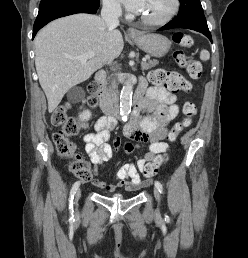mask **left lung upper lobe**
Returning a JSON list of instances; mask_svg holds the SVG:
<instances>
[{
    "label": "left lung upper lobe",
    "instance_id": "5c2ea615",
    "mask_svg": "<svg viewBox=\"0 0 248 258\" xmlns=\"http://www.w3.org/2000/svg\"><path fill=\"white\" fill-rule=\"evenodd\" d=\"M181 9L177 18H186L197 13H203V8L199 0H180Z\"/></svg>",
    "mask_w": 248,
    "mask_h": 258
}]
</instances>
